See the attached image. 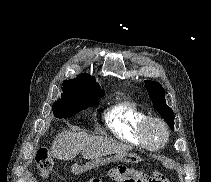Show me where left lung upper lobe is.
I'll use <instances>...</instances> for the list:
<instances>
[{
    "label": "left lung upper lobe",
    "instance_id": "5c2ea615",
    "mask_svg": "<svg viewBox=\"0 0 211 182\" xmlns=\"http://www.w3.org/2000/svg\"><path fill=\"white\" fill-rule=\"evenodd\" d=\"M145 85L154 107L165 119L170 128L174 130V113L166 104L165 91L163 87L158 82L149 80L145 81Z\"/></svg>",
    "mask_w": 211,
    "mask_h": 182
}]
</instances>
